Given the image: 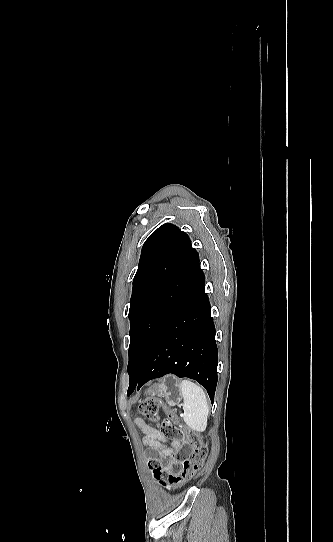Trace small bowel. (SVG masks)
<instances>
[{"label": "small bowel", "instance_id": "c3829d8e", "mask_svg": "<svg viewBox=\"0 0 333 542\" xmlns=\"http://www.w3.org/2000/svg\"><path fill=\"white\" fill-rule=\"evenodd\" d=\"M135 424L144 433L143 443L152 452L154 462H161L162 459L174 460L175 455L182 451L181 442L167 439L160 430L145 423L141 418H136ZM161 482L169 484L166 479H161Z\"/></svg>", "mask_w": 333, "mask_h": 542}]
</instances>
